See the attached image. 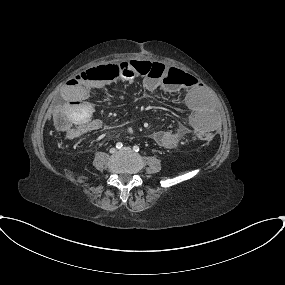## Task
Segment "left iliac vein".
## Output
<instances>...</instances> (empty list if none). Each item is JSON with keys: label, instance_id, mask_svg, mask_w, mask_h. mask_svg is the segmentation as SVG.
<instances>
[{"label": "left iliac vein", "instance_id": "obj_1", "mask_svg": "<svg viewBox=\"0 0 285 285\" xmlns=\"http://www.w3.org/2000/svg\"><path fill=\"white\" fill-rule=\"evenodd\" d=\"M122 151H131V148L130 147H123L122 149H121Z\"/></svg>", "mask_w": 285, "mask_h": 285}]
</instances>
